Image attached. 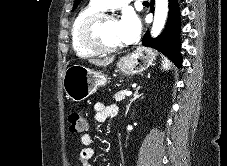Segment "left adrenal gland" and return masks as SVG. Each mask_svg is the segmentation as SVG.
<instances>
[{"mask_svg":"<svg viewBox=\"0 0 227 166\" xmlns=\"http://www.w3.org/2000/svg\"><path fill=\"white\" fill-rule=\"evenodd\" d=\"M141 88H142L141 86H138V87L136 88V90H135V92H134V94H133V96H132V98H131V100H130V103L126 106L125 115H127L128 111H129V108H130V106L132 105V103H133L134 101H136L137 99H139L140 97H142L143 94H142V93L139 94V91H140Z\"/></svg>","mask_w":227,"mask_h":166,"instance_id":"1","label":"left adrenal gland"}]
</instances>
